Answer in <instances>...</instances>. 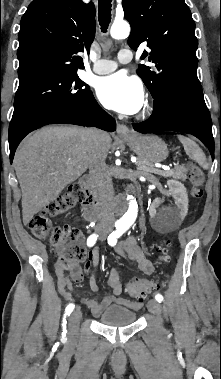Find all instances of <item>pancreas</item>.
I'll list each match as a JSON object with an SVG mask.
<instances>
[{
	"instance_id": "obj_1",
	"label": "pancreas",
	"mask_w": 221,
	"mask_h": 379,
	"mask_svg": "<svg viewBox=\"0 0 221 379\" xmlns=\"http://www.w3.org/2000/svg\"><path fill=\"white\" fill-rule=\"evenodd\" d=\"M136 164L139 167L140 166H144L146 168H153L152 165L146 163L144 160H141V159H138V161H137ZM139 170H142V172H148V171L143 170V169H139ZM186 172H187V169L185 168V166L184 165H180V166H176L171 171H168V172L163 171L159 175L162 176V177H165V178L172 177L174 179L186 180L187 179Z\"/></svg>"
}]
</instances>
